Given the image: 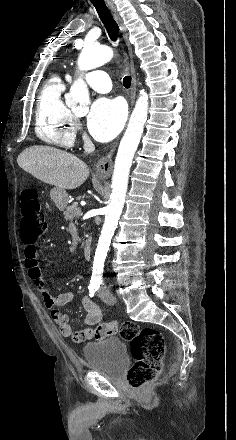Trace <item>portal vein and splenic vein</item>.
<instances>
[{
  "label": "portal vein and splenic vein",
  "instance_id": "18ae733b",
  "mask_svg": "<svg viewBox=\"0 0 236 440\" xmlns=\"http://www.w3.org/2000/svg\"><path fill=\"white\" fill-rule=\"evenodd\" d=\"M76 213L80 215V214H81V209H78V210L76 211Z\"/></svg>",
  "mask_w": 236,
  "mask_h": 440
}]
</instances>
